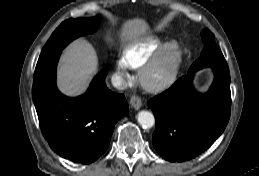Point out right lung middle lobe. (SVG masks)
I'll list each match as a JSON object with an SVG mask.
<instances>
[{"instance_id": "1", "label": "right lung middle lobe", "mask_w": 259, "mask_h": 176, "mask_svg": "<svg viewBox=\"0 0 259 176\" xmlns=\"http://www.w3.org/2000/svg\"><path fill=\"white\" fill-rule=\"evenodd\" d=\"M98 26V18H78L64 21L51 35L43 48L39 59L61 51L72 40L79 36L93 33Z\"/></svg>"}]
</instances>
